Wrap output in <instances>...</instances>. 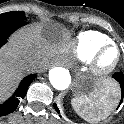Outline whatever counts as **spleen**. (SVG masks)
<instances>
[{
	"label": "spleen",
	"mask_w": 124,
	"mask_h": 124,
	"mask_svg": "<svg viewBox=\"0 0 124 124\" xmlns=\"http://www.w3.org/2000/svg\"><path fill=\"white\" fill-rule=\"evenodd\" d=\"M115 88L116 90L111 92L108 90L98 91L91 97H74L71 100L72 107L84 119L92 117L94 122L105 119L110 114L119 94L116 86Z\"/></svg>",
	"instance_id": "obj_1"
}]
</instances>
